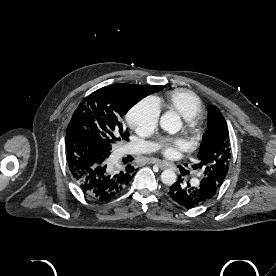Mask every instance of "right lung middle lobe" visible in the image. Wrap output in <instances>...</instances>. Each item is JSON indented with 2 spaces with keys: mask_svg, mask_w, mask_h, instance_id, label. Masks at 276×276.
Returning <instances> with one entry per match:
<instances>
[{
  "mask_svg": "<svg viewBox=\"0 0 276 276\" xmlns=\"http://www.w3.org/2000/svg\"><path fill=\"white\" fill-rule=\"evenodd\" d=\"M162 89V86L118 83L94 91L74 111L66 132V145L81 137L108 157L116 141L129 137L122 117L138 101Z\"/></svg>",
  "mask_w": 276,
  "mask_h": 276,
  "instance_id": "right-lung-middle-lobe-1",
  "label": "right lung middle lobe"
}]
</instances>
